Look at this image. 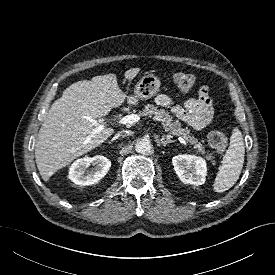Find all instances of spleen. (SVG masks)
I'll return each instance as SVG.
<instances>
[{
	"instance_id": "3e777b00",
	"label": "spleen",
	"mask_w": 275,
	"mask_h": 275,
	"mask_svg": "<svg viewBox=\"0 0 275 275\" xmlns=\"http://www.w3.org/2000/svg\"><path fill=\"white\" fill-rule=\"evenodd\" d=\"M245 147L242 133L235 128L230 137V146L223 157L222 165L214 181V191L223 193L239 179L244 163Z\"/></svg>"
}]
</instances>
